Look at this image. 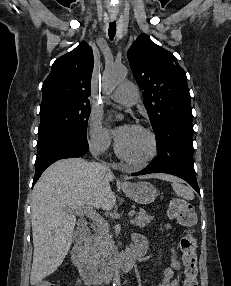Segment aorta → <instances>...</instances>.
I'll return each mask as SVG.
<instances>
[{
	"mask_svg": "<svg viewBox=\"0 0 231 286\" xmlns=\"http://www.w3.org/2000/svg\"><path fill=\"white\" fill-rule=\"evenodd\" d=\"M127 68L123 65H112L105 69L103 74V87L106 91H113L126 77ZM120 271L118 265L114 268L113 286H120Z\"/></svg>",
	"mask_w": 231,
	"mask_h": 286,
	"instance_id": "obj_1",
	"label": "aorta"
}]
</instances>
